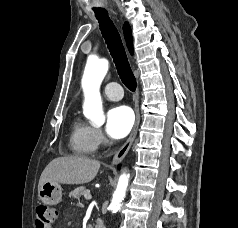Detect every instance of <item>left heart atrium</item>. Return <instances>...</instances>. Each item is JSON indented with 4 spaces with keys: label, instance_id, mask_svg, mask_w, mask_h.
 <instances>
[{
    "label": "left heart atrium",
    "instance_id": "1",
    "mask_svg": "<svg viewBox=\"0 0 238 228\" xmlns=\"http://www.w3.org/2000/svg\"><path fill=\"white\" fill-rule=\"evenodd\" d=\"M134 124V113L128 106L112 107L106 116V132L114 139L125 137Z\"/></svg>",
    "mask_w": 238,
    "mask_h": 228
}]
</instances>
